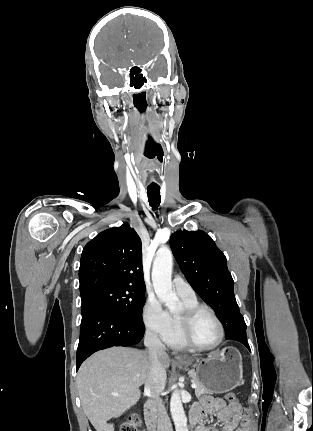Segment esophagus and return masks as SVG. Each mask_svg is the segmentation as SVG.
Returning a JSON list of instances; mask_svg holds the SVG:
<instances>
[{
	"instance_id": "esophagus-1",
	"label": "esophagus",
	"mask_w": 313,
	"mask_h": 431,
	"mask_svg": "<svg viewBox=\"0 0 313 431\" xmlns=\"http://www.w3.org/2000/svg\"><path fill=\"white\" fill-rule=\"evenodd\" d=\"M175 358H176V359H181V355L176 354V355H175Z\"/></svg>"
}]
</instances>
